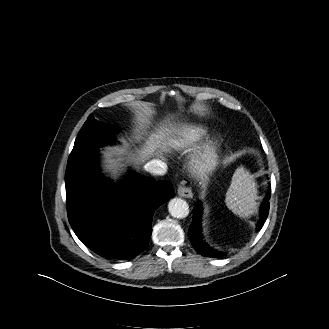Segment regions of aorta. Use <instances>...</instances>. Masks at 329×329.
Returning <instances> with one entry per match:
<instances>
[{"label": "aorta", "instance_id": "762f6f07", "mask_svg": "<svg viewBox=\"0 0 329 329\" xmlns=\"http://www.w3.org/2000/svg\"><path fill=\"white\" fill-rule=\"evenodd\" d=\"M168 211L174 218L183 219L189 214V205L181 198H173L169 201Z\"/></svg>", "mask_w": 329, "mask_h": 329}]
</instances>
